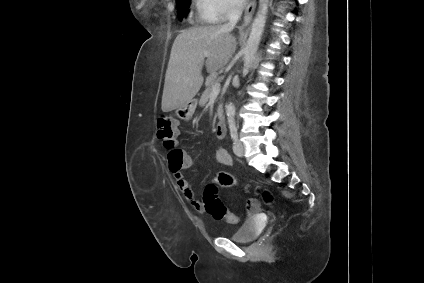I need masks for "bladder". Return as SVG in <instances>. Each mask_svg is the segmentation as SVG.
I'll use <instances>...</instances> for the list:
<instances>
[{
	"mask_svg": "<svg viewBox=\"0 0 424 283\" xmlns=\"http://www.w3.org/2000/svg\"><path fill=\"white\" fill-rule=\"evenodd\" d=\"M262 225L256 217L248 218L232 235L230 239L238 243H249L254 241L260 231Z\"/></svg>",
	"mask_w": 424,
	"mask_h": 283,
	"instance_id": "bladder-1",
	"label": "bladder"
}]
</instances>
